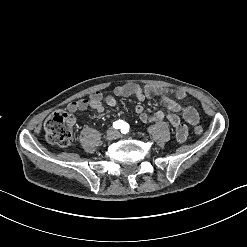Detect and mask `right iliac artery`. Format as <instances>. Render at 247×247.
<instances>
[{"instance_id": "obj_1", "label": "right iliac artery", "mask_w": 247, "mask_h": 247, "mask_svg": "<svg viewBox=\"0 0 247 247\" xmlns=\"http://www.w3.org/2000/svg\"><path fill=\"white\" fill-rule=\"evenodd\" d=\"M121 126H122V121L121 120L113 122V128L120 129Z\"/></svg>"}]
</instances>
